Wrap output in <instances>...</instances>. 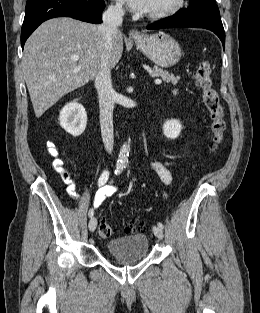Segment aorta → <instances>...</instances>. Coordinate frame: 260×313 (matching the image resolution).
Returning <instances> with one entry per match:
<instances>
[{
    "instance_id": "aorta-1",
    "label": "aorta",
    "mask_w": 260,
    "mask_h": 313,
    "mask_svg": "<svg viewBox=\"0 0 260 313\" xmlns=\"http://www.w3.org/2000/svg\"><path fill=\"white\" fill-rule=\"evenodd\" d=\"M129 150L130 147L128 144L124 143L120 149L119 152V158H118V162L120 164H126L128 163V157H129Z\"/></svg>"
}]
</instances>
